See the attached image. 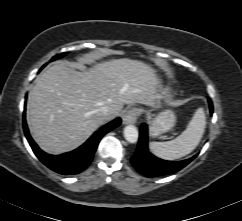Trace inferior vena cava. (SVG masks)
Returning <instances> with one entry per match:
<instances>
[{"label":"inferior vena cava","instance_id":"1","mask_svg":"<svg viewBox=\"0 0 242 221\" xmlns=\"http://www.w3.org/2000/svg\"><path fill=\"white\" fill-rule=\"evenodd\" d=\"M99 111L103 114V116H104L105 118H108V117L111 116L112 113H113V112L110 110V108L107 107V106H103V107H101V108L99 109Z\"/></svg>","mask_w":242,"mask_h":221}]
</instances>
